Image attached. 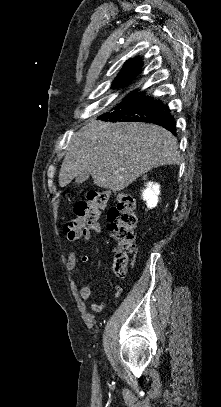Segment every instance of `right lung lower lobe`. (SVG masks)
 <instances>
[{"instance_id": "1", "label": "right lung lower lobe", "mask_w": 221, "mask_h": 407, "mask_svg": "<svg viewBox=\"0 0 221 407\" xmlns=\"http://www.w3.org/2000/svg\"><path fill=\"white\" fill-rule=\"evenodd\" d=\"M101 118L111 122L138 121L154 123L176 135L174 118L170 114L168 106L164 105L160 100H154L152 96L146 97L143 92L131 94L118 104L112 112L103 114Z\"/></svg>"}]
</instances>
